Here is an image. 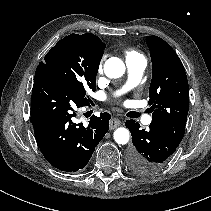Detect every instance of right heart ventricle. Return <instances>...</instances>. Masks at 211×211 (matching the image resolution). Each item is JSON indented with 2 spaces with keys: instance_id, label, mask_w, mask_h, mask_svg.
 Listing matches in <instances>:
<instances>
[{
  "instance_id": "e07e8e85",
  "label": "right heart ventricle",
  "mask_w": 211,
  "mask_h": 211,
  "mask_svg": "<svg viewBox=\"0 0 211 211\" xmlns=\"http://www.w3.org/2000/svg\"><path fill=\"white\" fill-rule=\"evenodd\" d=\"M135 55H138V54L134 51H127L126 52V58L131 57V56H135Z\"/></svg>"
}]
</instances>
